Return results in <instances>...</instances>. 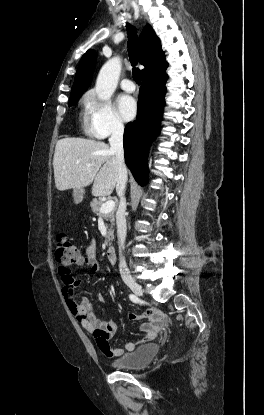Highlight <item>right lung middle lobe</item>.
Masks as SVG:
<instances>
[{
    "instance_id": "right-lung-middle-lobe-1",
    "label": "right lung middle lobe",
    "mask_w": 264,
    "mask_h": 415,
    "mask_svg": "<svg viewBox=\"0 0 264 415\" xmlns=\"http://www.w3.org/2000/svg\"><path fill=\"white\" fill-rule=\"evenodd\" d=\"M80 96L81 95L70 97L69 106L75 105L77 103V101L79 100Z\"/></svg>"
}]
</instances>
